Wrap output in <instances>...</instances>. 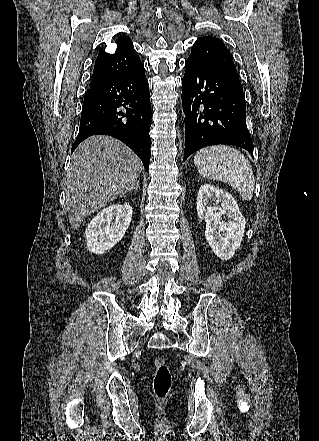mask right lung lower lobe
<instances>
[{"label":"right lung lower lobe","mask_w":319,"mask_h":441,"mask_svg":"<svg viewBox=\"0 0 319 441\" xmlns=\"http://www.w3.org/2000/svg\"><path fill=\"white\" fill-rule=\"evenodd\" d=\"M149 84L143 64L97 83L87 91L73 150L86 138L104 134L130 147L148 171L151 139Z\"/></svg>","instance_id":"98d812e1"}]
</instances>
